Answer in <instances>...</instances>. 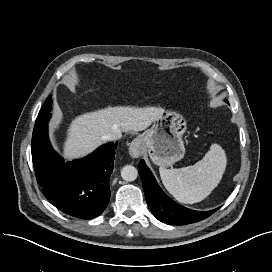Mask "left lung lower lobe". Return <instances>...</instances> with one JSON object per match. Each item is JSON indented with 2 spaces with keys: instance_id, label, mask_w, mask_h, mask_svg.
<instances>
[{
  "instance_id": "obj_1",
  "label": "left lung lower lobe",
  "mask_w": 272,
  "mask_h": 272,
  "mask_svg": "<svg viewBox=\"0 0 272 272\" xmlns=\"http://www.w3.org/2000/svg\"><path fill=\"white\" fill-rule=\"evenodd\" d=\"M138 169L148 206L159 221L185 225L201 221L217 210L194 211L177 204L161 190L144 160L139 162Z\"/></svg>"
}]
</instances>
